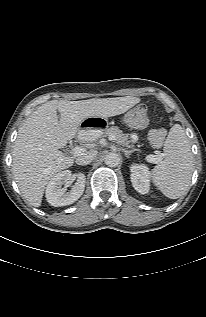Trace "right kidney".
<instances>
[{"mask_svg": "<svg viewBox=\"0 0 206 317\" xmlns=\"http://www.w3.org/2000/svg\"><path fill=\"white\" fill-rule=\"evenodd\" d=\"M72 181L71 171L65 170L56 174L48 183L46 187L47 201L55 207L66 206L77 201L85 189V175L83 173L77 174V181L70 192H66V187ZM65 187L62 188V185Z\"/></svg>", "mask_w": 206, "mask_h": 317, "instance_id": "right-kidney-1", "label": "right kidney"}]
</instances>
